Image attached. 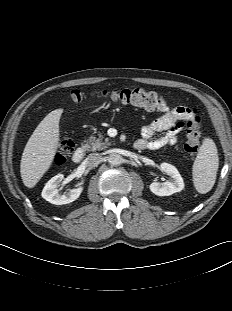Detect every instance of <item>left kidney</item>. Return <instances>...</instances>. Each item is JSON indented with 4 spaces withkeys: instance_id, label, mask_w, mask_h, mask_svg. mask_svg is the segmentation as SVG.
Here are the masks:
<instances>
[{
    "instance_id": "1",
    "label": "left kidney",
    "mask_w": 232,
    "mask_h": 311,
    "mask_svg": "<svg viewBox=\"0 0 232 311\" xmlns=\"http://www.w3.org/2000/svg\"><path fill=\"white\" fill-rule=\"evenodd\" d=\"M160 170L170 176L161 186L158 182L150 184L149 188L157 196H169L184 189V181L177 168L169 163H161Z\"/></svg>"
}]
</instances>
